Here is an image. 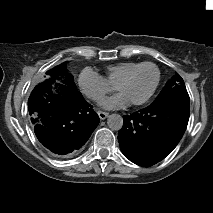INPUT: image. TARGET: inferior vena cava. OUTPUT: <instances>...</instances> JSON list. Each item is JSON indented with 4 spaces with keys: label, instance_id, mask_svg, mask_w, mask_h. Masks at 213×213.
Listing matches in <instances>:
<instances>
[{
    "label": "inferior vena cava",
    "instance_id": "obj_1",
    "mask_svg": "<svg viewBox=\"0 0 213 213\" xmlns=\"http://www.w3.org/2000/svg\"><path fill=\"white\" fill-rule=\"evenodd\" d=\"M101 99V97L100 96H98V97H95V100H100Z\"/></svg>",
    "mask_w": 213,
    "mask_h": 213
}]
</instances>
